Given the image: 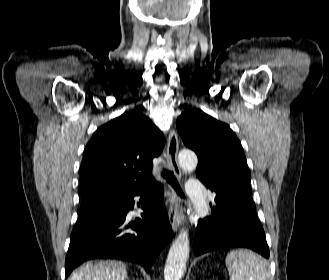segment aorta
<instances>
[{
  "instance_id": "obj_1",
  "label": "aorta",
  "mask_w": 329,
  "mask_h": 280,
  "mask_svg": "<svg viewBox=\"0 0 329 280\" xmlns=\"http://www.w3.org/2000/svg\"><path fill=\"white\" fill-rule=\"evenodd\" d=\"M179 165L184 171H193L198 163L194 152L184 150L178 155ZM190 241L187 230H182L173 241L166 260L164 280H181L189 257Z\"/></svg>"
}]
</instances>
